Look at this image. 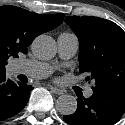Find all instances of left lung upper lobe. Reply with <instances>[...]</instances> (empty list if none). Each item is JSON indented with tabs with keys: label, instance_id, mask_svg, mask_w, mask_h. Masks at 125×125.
<instances>
[{
	"label": "left lung upper lobe",
	"instance_id": "5c2ea615",
	"mask_svg": "<svg viewBox=\"0 0 125 125\" xmlns=\"http://www.w3.org/2000/svg\"><path fill=\"white\" fill-rule=\"evenodd\" d=\"M65 22L79 39L80 72L93 90L125 91V32L114 22L90 16H67Z\"/></svg>",
	"mask_w": 125,
	"mask_h": 125
}]
</instances>
